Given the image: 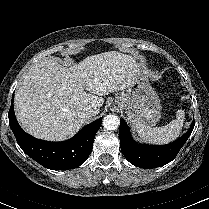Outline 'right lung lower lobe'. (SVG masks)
I'll return each mask as SVG.
<instances>
[{
  "instance_id": "98d812e1",
  "label": "right lung lower lobe",
  "mask_w": 209,
  "mask_h": 209,
  "mask_svg": "<svg viewBox=\"0 0 209 209\" xmlns=\"http://www.w3.org/2000/svg\"><path fill=\"white\" fill-rule=\"evenodd\" d=\"M14 95H12V103ZM9 110V125L21 149L39 164L48 169L67 170L80 166L90 155L95 134L102 118L86 125L73 138L63 142L44 141L24 132L18 124L13 105Z\"/></svg>"
}]
</instances>
